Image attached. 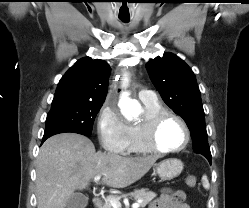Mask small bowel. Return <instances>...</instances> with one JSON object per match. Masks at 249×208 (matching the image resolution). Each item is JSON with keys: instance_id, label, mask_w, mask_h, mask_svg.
Segmentation results:
<instances>
[{"instance_id": "c3829d8e", "label": "small bowel", "mask_w": 249, "mask_h": 208, "mask_svg": "<svg viewBox=\"0 0 249 208\" xmlns=\"http://www.w3.org/2000/svg\"><path fill=\"white\" fill-rule=\"evenodd\" d=\"M149 208H190L185 202V193L181 190L164 189Z\"/></svg>"}]
</instances>
